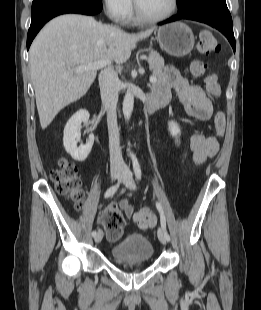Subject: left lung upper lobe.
<instances>
[{"instance_id": "5c2ea615", "label": "left lung upper lobe", "mask_w": 261, "mask_h": 310, "mask_svg": "<svg viewBox=\"0 0 261 310\" xmlns=\"http://www.w3.org/2000/svg\"><path fill=\"white\" fill-rule=\"evenodd\" d=\"M202 1L204 0H177L178 14H184L194 10Z\"/></svg>"}]
</instances>
